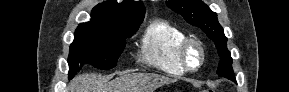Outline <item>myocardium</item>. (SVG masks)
I'll use <instances>...</instances> for the list:
<instances>
[{"mask_svg":"<svg viewBox=\"0 0 289 92\" xmlns=\"http://www.w3.org/2000/svg\"><path fill=\"white\" fill-rule=\"evenodd\" d=\"M195 47L199 52V62L196 66H191L188 61V53L191 48ZM179 58L182 67L187 72H196L204 64L205 61V47L203 43L194 37H187L181 44L179 49Z\"/></svg>","mask_w":289,"mask_h":92,"instance_id":"f54148a6","label":"myocardium"}]
</instances>
